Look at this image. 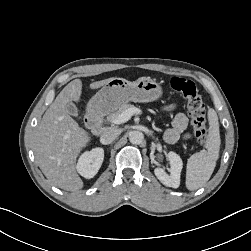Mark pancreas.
<instances>
[{
	"mask_svg": "<svg viewBox=\"0 0 251 251\" xmlns=\"http://www.w3.org/2000/svg\"><path fill=\"white\" fill-rule=\"evenodd\" d=\"M134 106L132 104H123L120 107H118V109H116L115 111L111 112L108 116H107V121L112 122L114 119H116V117L118 115H120L122 112H124L125 110L129 109V108H133Z\"/></svg>",
	"mask_w": 251,
	"mask_h": 251,
	"instance_id": "pancreas-1",
	"label": "pancreas"
}]
</instances>
